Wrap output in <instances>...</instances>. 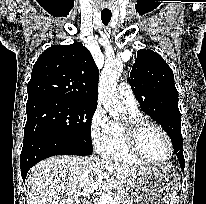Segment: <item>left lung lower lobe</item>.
Instances as JSON below:
<instances>
[{"label": "left lung lower lobe", "mask_w": 206, "mask_h": 204, "mask_svg": "<svg viewBox=\"0 0 206 204\" xmlns=\"http://www.w3.org/2000/svg\"><path fill=\"white\" fill-rule=\"evenodd\" d=\"M179 162H180V165H181V168L184 169V166H185V160H184V157H183V151H179V152H175Z\"/></svg>", "instance_id": "obj_1"}]
</instances>
